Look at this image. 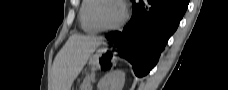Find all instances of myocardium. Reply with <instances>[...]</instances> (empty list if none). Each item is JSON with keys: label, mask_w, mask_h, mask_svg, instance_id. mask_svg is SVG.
Masks as SVG:
<instances>
[{"label": "myocardium", "mask_w": 228, "mask_h": 90, "mask_svg": "<svg viewBox=\"0 0 228 90\" xmlns=\"http://www.w3.org/2000/svg\"><path fill=\"white\" fill-rule=\"evenodd\" d=\"M104 2H115V3H118L122 7V16L117 23H115L113 25H104L101 22V20L99 19L98 10L100 8V5ZM127 17H128L127 8H126L125 4L120 0H96V4L92 10V19H93L94 23L96 24V26L98 28H100L101 30H105V31L114 30V29L121 27L126 22Z\"/></svg>", "instance_id": "1"}]
</instances>
